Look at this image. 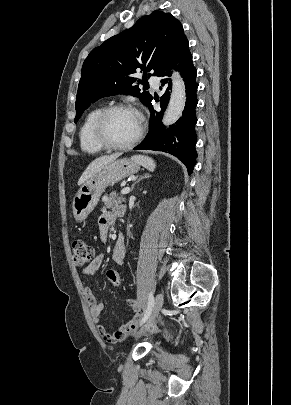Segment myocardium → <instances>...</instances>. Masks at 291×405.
<instances>
[{
	"instance_id": "myocardium-1",
	"label": "myocardium",
	"mask_w": 291,
	"mask_h": 405,
	"mask_svg": "<svg viewBox=\"0 0 291 405\" xmlns=\"http://www.w3.org/2000/svg\"><path fill=\"white\" fill-rule=\"evenodd\" d=\"M118 110H133L140 117V128L136 136L129 142L117 144L110 141L106 135L105 126L108 117ZM145 131L144 118L142 114L132 105L126 103H116L103 108L97 115L93 124V137L95 141L105 149L110 150H127L134 147L143 137Z\"/></svg>"
}]
</instances>
